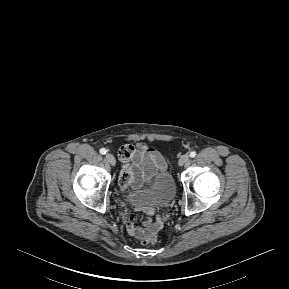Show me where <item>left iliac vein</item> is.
<instances>
[{"mask_svg": "<svg viewBox=\"0 0 289 289\" xmlns=\"http://www.w3.org/2000/svg\"><path fill=\"white\" fill-rule=\"evenodd\" d=\"M189 160V155L188 154H184L180 157L178 164L179 166H183L185 163H187Z\"/></svg>", "mask_w": 289, "mask_h": 289, "instance_id": "left-iliac-vein-1", "label": "left iliac vein"}]
</instances>
